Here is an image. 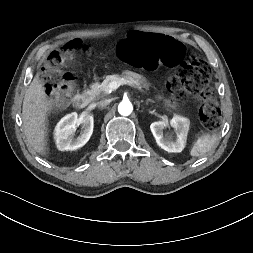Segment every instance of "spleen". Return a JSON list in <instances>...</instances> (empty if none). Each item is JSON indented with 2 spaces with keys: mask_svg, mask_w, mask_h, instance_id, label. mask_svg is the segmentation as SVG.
I'll list each match as a JSON object with an SVG mask.
<instances>
[{
  "mask_svg": "<svg viewBox=\"0 0 253 253\" xmlns=\"http://www.w3.org/2000/svg\"><path fill=\"white\" fill-rule=\"evenodd\" d=\"M217 141V134L213 133L204 134L198 137L196 142L193 144L191 148L190 155L192 157H200L205 155L211 148L214 146L215 142Z\"/></svg>",
  "mask_w": 253,
  "mask_h": 253,
  "instance_id": "spleen-1",
  "label": "spleen"
}]
</instances>
